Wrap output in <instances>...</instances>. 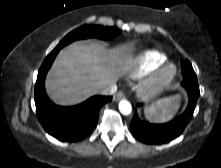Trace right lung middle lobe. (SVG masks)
Listing matches in <instances>:
<instances>
[{"mask_svg":"<svg viewBox=\"0 0 221 168\" xmlns=\"http://www.w3.org/2000/svg\"><path fill=\"white\" fill-rule=\"evenodd\" d=\"M120 33H121L120 30L116 28H112V27L83 25L73 30L69 34H67L63 38V40L56 46L55 49H61L67 44L77 39H85V38H91V37H96L100 39H111Z\"/></svg>","mask_w":221,"mask_h":168,"instance_id":"dd1d6c3e","label":"right lung middle lobe"}]
</instances>
